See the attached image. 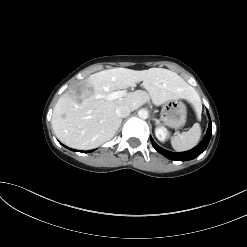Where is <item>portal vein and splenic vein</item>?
<instances>
[{
    "instance_id": "18ae733b",
    "label": "portal vein and splenic vein",
    "mask_w": 247,
    "mask_h": 247,
    "mask_svg": "<svg viewBox=\"0 0 247 247\" xmlns=\"http://www.w3.org/2000/svg\"><path fill=\"white\" fill-rule=\"evenodd\" d=\"M125 94H126V91L125 90L115 91V92L109 93L106 96V98L108 100H114V99H117V98H120V97L124 96Z\"/></svg>"
}]
</instances>
